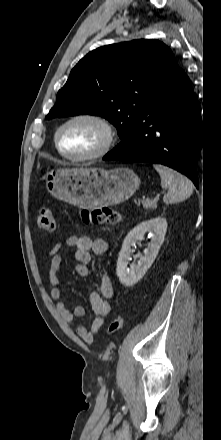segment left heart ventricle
<instances>
[{
    "instance_id": "b2bd125f",
    "label": "left heart ventricle",
    "mask_w": 221,
    "mask_h": 440,
    "mask_svg": "<svg viewBox=\"0 0 221 440\" xmlns=\"http://www.w3.org/2000/svg\"><path fill=\"white\" fill-rule=\"evenodd\" d=\"M102 130L94 123L77 121L63 129L59 137L60 148L73 156L94 152L102 143Z\"/></svg>"
}]
</instances>
